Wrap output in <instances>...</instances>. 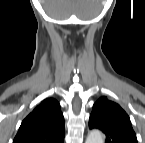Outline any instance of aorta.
Here are the masks:
<instances>
[{
    "mask_svg": "<svg viewBox=\"0 0 145 143\" xmlns=\"http://www.w3.org/2000/svg\"><path fill=\"white\" fill-rule=\"evenodd\" d=\"M103 134L99 130H92L88 133L86 143H103Z\"/></svg>",
    "mask_w": 145,
    "mask_h": 143,
    "instance_id": "obj_1",
    "label": "aorta"
}]
</instances>
